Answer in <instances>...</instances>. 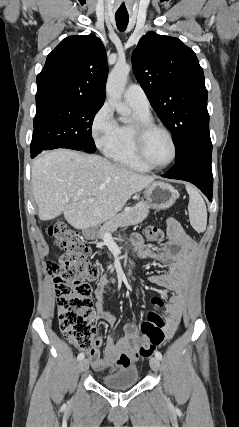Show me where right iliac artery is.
I'll use <instances>...</instances> for the list:
<instances>
[{
  "label": "right iliac artery",
  "instance_id": "82829eb1",
  "mask_svg": "<svg viewBox=\"0 0 239 427\" xmlns=\"http://www.w3.org/2000/svg\"><path fill=\"white\" fill-rule=\"evenodd\" d=\"M84 357H85L84 353H79L77 359L80 361V360L84 359Z\"/></svg>",
  "mask_w": 239,
  "mask_h": 427
}]
</instances>
